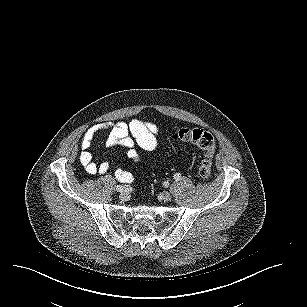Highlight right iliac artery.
Wrapping results in <instances>:
<instances>
[{
    "label": "right iliac artery",
    "instance_id": "right-iliac-artery-1",
    "mask_svg": "<svg viewBox=\"0 0 307 307\" xmlns=\"http://www.w3.org/2000/svg\"><path fill=\"white\" fill-rule=\"evenodd\" d=\"M116 190H117V192H122L123 191V186L117 185Z\"/></svg>",
    "mask_w": 307,
    "mask_h": 307
}]
</instances>
